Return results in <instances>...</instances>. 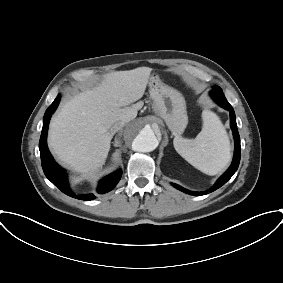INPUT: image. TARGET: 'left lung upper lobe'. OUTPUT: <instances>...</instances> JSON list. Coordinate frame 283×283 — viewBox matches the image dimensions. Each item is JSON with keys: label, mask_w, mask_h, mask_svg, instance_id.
I'll return each instance as SVG.
<instances>
[{"label": "left lung upper lobe", "mask_w": 283, "mask_h": 283, "mask_svg": "<svg viewBox=\"0 0 283 283\" xmlns=\"http://www.w3.org/2000/svg\"><path fill=\"white\" fill-rule=\"evenodd\" d=\"M210 94L213 98H216V97L217 98H225L222 89L217 85L213 86V90L211 91Z\"/></svg>", "instance_id": "left-lung-upper-lobe-1"}]
</instances>
